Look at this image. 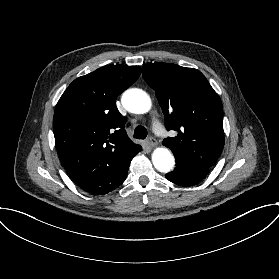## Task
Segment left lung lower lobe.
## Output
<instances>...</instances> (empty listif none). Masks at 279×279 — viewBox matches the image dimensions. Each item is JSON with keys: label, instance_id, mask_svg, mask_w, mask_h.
<instances>
[{"label": "left lung lower lobe", "instance_id": "1", "mask_svg": "<svg viewBox=\"0 0 279 279\" xmlns=\"http://www.w3.org/2000/svg\"><path fill=\"white\" fill-rule=\"evenodd\" d=\"M210 172V169L199 168L197 166L176 161L174 171L166 174V178L181 186H193L202 181Z\"/></svg>", "mask_w": 279, "mask_h": 279}]
</instances>
